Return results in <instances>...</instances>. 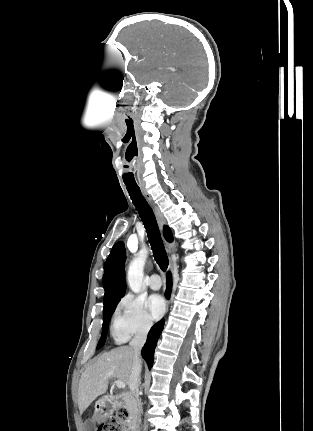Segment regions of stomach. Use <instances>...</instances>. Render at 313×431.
Here are the masks:
<instances>
[{
	"mask_svg": "<svg viewBox=\"0 0 313 431\" xmlns=\"http://www.w3.org/2000/svg\"><path fill=\"white\" fill-rule=\"evenodd\" d=\"M110 405V401L108 399H100L97 401L96 403V410L94 413V418L97 421H104L107 416H108V412L106 410V408Z\"/></svg>",
	"mask_w": 313,
	"mask_h": 431,
	"instance_id": "0dacf381",
	"label": "stomach"
}]
</instances>
